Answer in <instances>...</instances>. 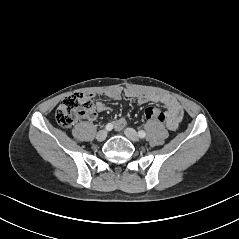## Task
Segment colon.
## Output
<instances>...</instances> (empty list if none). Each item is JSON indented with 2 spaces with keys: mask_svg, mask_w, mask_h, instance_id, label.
I'll return each mask as SVG.
<instances>
[{
  "mask_svg": "<svg viewBox=\"0 0 239 239\" xmlns=\"http://www.w3.org/2000/svg\"><path fill=\"white\" fill-rule=\"evenodd\" d=\"M94 105L89 95L74 93L66 98L58 106L55 112L57 123L64 127H71L81 116H88L93 113ZM148 119L164 121L165 114L159 106L148 107L145 111Z\"/></svg>",
  "mask_w": 239,
  "mask_h": 239,
  "instance_id": "5ec220e1",
  "label": "colon"
}]
</instances>
